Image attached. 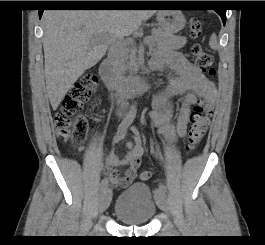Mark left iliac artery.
Returning a JSON list of instances; mask_svg holds the SVG:
<instances>
[{
  "mask_svg": "<svg viewBox=\"0 0 265 245\" xmlns=\"http://www.w3.org/2000/svg\"><path fill=\"white\" fill-rule=\"evenodd\" d=\"M160 192H166V186L163 183H161L159 188L155 190V195L157 196Z\"/></svg>",
  "mask_w": 265,
  "mask_h": 245,
  "instance_id": "1",
  "label": "left iliac artery"
}]
</instances>
